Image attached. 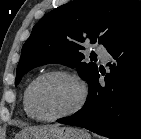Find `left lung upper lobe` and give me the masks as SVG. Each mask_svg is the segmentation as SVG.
Returning a JSON list of instances; mask_svg holds the SVG:
<instances>
[{
  "instance_id": "obj_1",
  "label": "left lung upper lobe",
  "mask_w": 141,
  "mask_h": 139,
  "mask_svg": "<svg viewBox=\"0 0 141 139\" xmlns=\"http://www.w3.org/2000/svg\"><path fill=\"white\" fill-rule=\"evenodd\" d=\"M141 23L138 0H74L44 16L23 45L16 70L17 85L33 68L59 63L76 67L88 84L98 67L83 61V42L107 47Z\"/></svg>"
}]
</instances>
